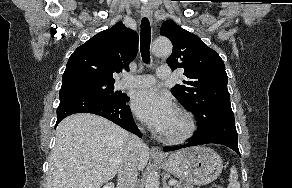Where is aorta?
I'll return each instance as SVG.
<instances>
[{
    "label": "aorta",
    "mask_w": 292,
    "mask_h": 188,
    "mask_svg": "<svg viewBox=\"0 0 292 188\" xmlns=\"http://www.w3.org/2000/svg\"><path fill=\"white\" fill-rule=\"evenodd\" d=\"M155 56H168L172 53V44L166 38H158L152 44ZM145 188H159V179L156 172H150L146 178Z\"/></svg>",
    "instance_id": "obj_1"
}]
</instances>
